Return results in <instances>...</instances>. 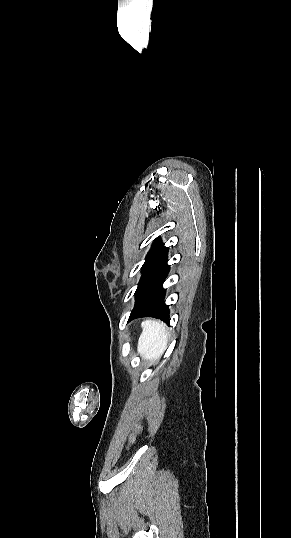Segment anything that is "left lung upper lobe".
<instances>
[{
  "label": "left lung upper lobe",
  "mask_w": 291,
  "mask_h": 538,
  "mask_svg": "<svg viewBox=\"0 0 291 538\" xmlns=\"http://www.w3.org/2000/svg\"><path fill=\"white\" fill-rule=\"evenodd\" d=\"M166 250L167 248L164 246V244H161L160 241H156L152 249L148 253L147 257L145 258V262L142 266V271L144 272L149 267V265Z\"/></svg>",
  "instance_id": "obj_1"
}]
</instances>
